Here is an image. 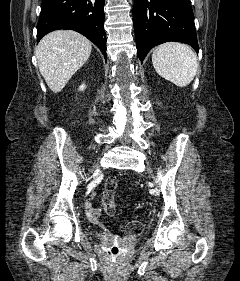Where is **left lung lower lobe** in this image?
<instances>
[{"label": "left lung lower lobe", "instance_id": "1", "mask_svg": "<svg viewBox=\"0 0 240 281\" xmlns=\"http://www.w3.org/2000/svg\"><path fill=\"white\" fill-rule=\"evenodd\" d=\"M134 30L142 62L156 45L183 42L199 50L190 0H135Z\"/></svg>", "mask_w": 240, "mask_h": 281}]
</instances>
